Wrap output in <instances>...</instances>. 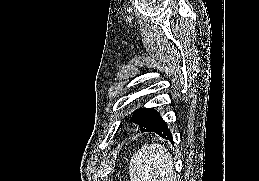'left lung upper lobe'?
<instances>
[{"label":"left lung upper lobe","instance_id":"obj_1","mask_svg":"<svg viewBox=\"0 0 259 181\" xmlns=\"http://www.w3.org/2000/svg\"><path fill=\"white\" fill-rule=\"evenodd\" d=\"M159 116L154 109L140 108L133 112L132 120L139 126L140 132H143Z\"/></svg>","mask_w":259,"mask_h":181}]
</instances>
